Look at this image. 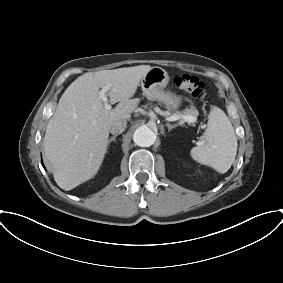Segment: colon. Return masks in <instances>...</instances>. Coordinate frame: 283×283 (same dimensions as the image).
Returning <instances> with one entry per match:
<instances>
[{"instance_id":"5ec220e1","label":"colon","mask_w":283,"mask_h":283,"mask_svg":"<svg viewBox=\"0 0 283 283\" xmlns=\"http://www.w3.org/2000/svg\"><path fill=\"white\" fill-rule=\"evenodd\" d=\"M174 85L190 94L193 98L202 99L205 95V85L196 76L190 74H181L174 77Z\"/></svg>"}]
</instances>
